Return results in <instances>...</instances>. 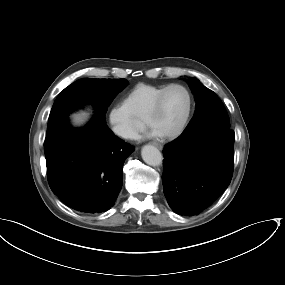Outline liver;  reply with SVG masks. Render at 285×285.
Returning <instances> with one entry per match:
<instances>
[{
  "mask_svg": "<svg viewBox=\"0 0 285 285\" xmlns=\"http://www.w3.org/2000/svg\"><path fill=\"white\" fill-rule=\"evenodd\" d=\"M88 115H89V114L86 113V112H81V113H79V114L73 115L74 124H75V125H80V124H82L83 122H85V120L87 119Z\"/></svg>",
  "mask_w": 285,
  "mask_h": 285,
  "instance_id": "6515ba94",
  "label": "liver"
}]
</instances>
